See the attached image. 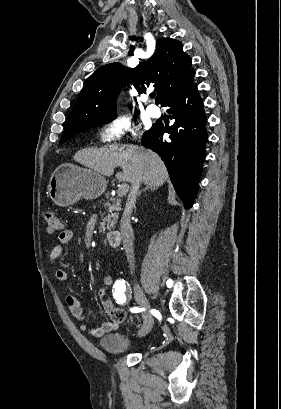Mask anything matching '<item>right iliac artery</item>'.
<instances>
[{
  "label": "right iliac artery",
  "instance_id": "obj_1",
  "mask_svg": "<svg viewBox=\"0 0 281 409\" xmlns=\"http://www.w3.org/2000/svg\"><path fill=\"white\" fill-rule=\"evenodd\" d=\"M113 297L118 304H124L131 299L132 291L130 285L123 279H118L113 285ZM151 313L157 318H161L160 314L156 310H152Z\"/></svg>",
  "mask_w": 281,
  "mask_h": 409
}]
</instances>
